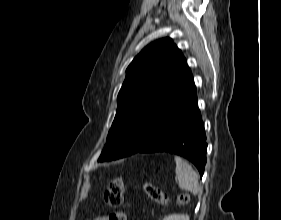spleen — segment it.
<instances>
[{"instance_id":"3e777b00","label":"spleen","mask_w":281,"mask_h":220,"mask_svg":"<svg viewBox=\"0 0 281 220\" xmlns=\"http://www.w3.org/2000/svg\"><path fill=\"white\" fill-rule=\"evenodd\" d=\"M174 160L176 163L175 174L179 180V187L191 191L194 195L198 194L200 186L196 171L182 158L175 156Z\"/></svg>"}]
</instances>
